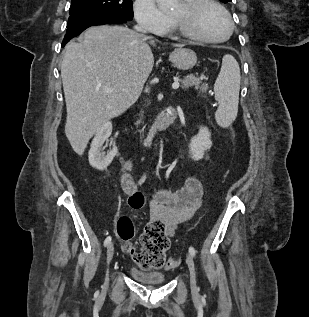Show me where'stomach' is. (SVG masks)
I'll use <instances>...</instances> for the list:
<instances>
[{
	"instance_id": "obj_1",
	"label": "stomach",
	"mask_w": 309,
	"mask_h": 317,
	"mask_svg": "<svg viewBox=\"0 0 309 317\" xmlns=\"http://www.w3.org/2000/svg\"><path fill=\"white\" fill-rule=\"evenodd\" d=\"M169 58L174 67L183 71L193 68L197 63L196 53L188 48L175 49Z\"/></svg>"
}]
</instances>
